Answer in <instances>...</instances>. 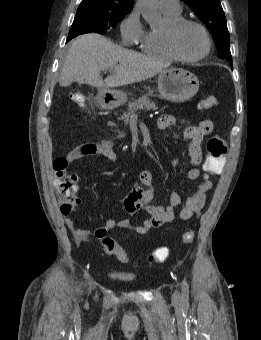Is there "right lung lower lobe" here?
<instances>
[{"mask_svg": "<svg viewBox=\"0 0 261 340\" xmlns=\"http://www.w3.org/2000/svg\"><path fill=\"white\" fill-rule=\"evenodd\" d=\"M76 36H78V35L76 34V35H71V36H68V38H67V41H66V42L70 41L72 38H74V37H76Z\"/></svg>", "mask_w": 261, "mask_h": 340, "instance_id": "obj_1", "label": "right lung lower lobe"}]
</instances>
